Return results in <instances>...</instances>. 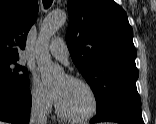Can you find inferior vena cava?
<instances>
[{
  "label": "inferior vena cava",
  "instance_id": "1",
  "mask_svg": "<svg viewBox=\"0 0 156 124\" xmlns=\"http://www.w3.org/2000/svg\"><path fill=\"white\" fill-rule=\"evenodd\" d=\"M47 110L45 101L41 97L32 98V107L29 124H47Z\"/></svg>",
  "mask_w": 156,
  "mask_h": 124
}]
</instances>
